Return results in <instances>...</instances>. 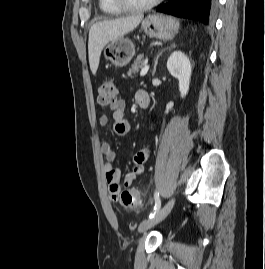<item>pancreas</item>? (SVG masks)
Returning a JSON list of instances; mask_svg holds the SVG:
<instances>
[{
    "instance_id": "pancreas-1",
    "label": "pancreas",
    "mask_w": 265,
    "mask_h": 269,
    "mask_svg": "<svg viewBox=\"0 0 265 269\" xmlns=\"http://www.w3.org/2000/svg\"><path fill=\"white\" fill-rule=\"evenodd\" d=\"M143 55H139L133 65L131 66V68L129 69L128 71V75L129 76H132V75H135L141 68H143Z\"/></svg>"
}]
</instances>
